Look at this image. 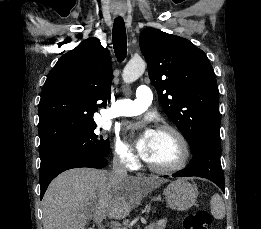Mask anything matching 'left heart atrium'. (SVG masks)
<instances>
[{"label":"left heart atrium","instance_id":"39dd6f15","mask_svg":"<svg viewBox=\"0 0 261 229\" xmlns=\"http://www.w3.org/2000/svg\"><path fill=\"white\" fill-rule=\"evenodd\" d=\"M156 131L152 129H145L138 137L136 141V147L144 158L147 156L152 140L155 136Z\"/></svg>","mask_w":261,"mask_h":229}]
</instances>
